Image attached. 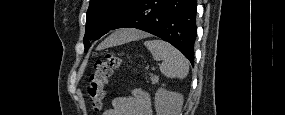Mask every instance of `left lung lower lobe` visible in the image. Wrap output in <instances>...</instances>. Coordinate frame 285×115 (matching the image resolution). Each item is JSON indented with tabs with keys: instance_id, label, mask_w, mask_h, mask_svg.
<instances>
[{
	"instance_id": "1",
	"label": "left lung lower lobe",
	"mask_w": 285,
	"mask_h": 115,
	"mask_svg": "<svg viewBox=\"0 0 285 115\" xmlns=\"http://www.w3.org/2000/svg\"><path fill=\"white\" fill-rule=\"evenodd\" d=\"M195 0H136L112 29L137 28L169 42L194 63Z\"/></svg>"
}]
</instances>
